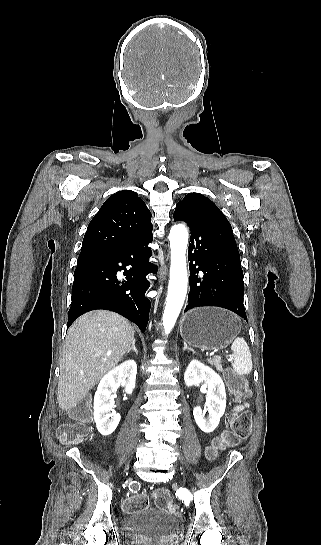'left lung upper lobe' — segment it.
I'll return each instance as SVG.
<instances>
[{
	"label": "left lung upper lobe",
	"instance_id": "1",
	"mask_svg": "<svg viewBox=\"0 0 321 545\" xmlns=\"http://www.w3.org/2000/svg\"><path fill=\"white\" fill-rule=\"evenodd\" d=\"M212 211L220 210L209 198L199 193H189L177 204L174 216L181 213L199 215Z\"/></svg>",
	"mask_w": 321,
	"mask_h": 545
}]
</instances>
